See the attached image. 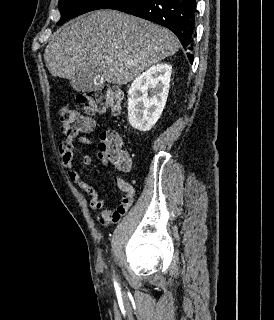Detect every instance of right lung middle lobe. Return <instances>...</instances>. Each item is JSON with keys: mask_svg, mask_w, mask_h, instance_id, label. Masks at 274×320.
Instances as JSON below:
<instances>
[{"mask_svg": "<svg viewBox=\"0 0 274 320\" xmlns=\"http://www.w3.org/2000/svg\"><path fill=\"white\" fill-rule=\"evenodd\" d=\"M112 1L113 0H59L61 19L57 25L64 23L70 17L97 9H103Z\"/></svg>", "mask_w": 274, "mask_h": 320, "instance_id": "1", "label": "right lung middle lobe"}]
</instances>
